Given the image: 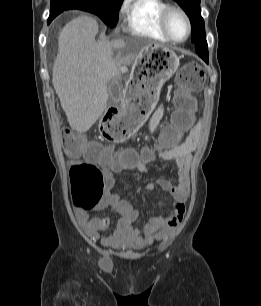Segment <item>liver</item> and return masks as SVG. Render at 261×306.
I'll return each instance as SVG.
<instances>
[{
    "mask_svg": "<svg viewBox=\"0 0 261 306\" xmlns=\"http://www.w3.org/2000/svg\"><path fill=\"white\" fill-rule=\"evenodd\" d=\"M97 33V21L84 15L68 22L58 38L52 83L69 125L78 132L89 130L106 110L108 82L121 79V65L130 64L151 46L138 48L127 58H114V50L127 48L128 41H96Z\"/></svg>",
    "mask_w": 261,
    "mask_h": 306,
    "instance_id": "obj_1",
    "label": "liver"
}]
</instances>
